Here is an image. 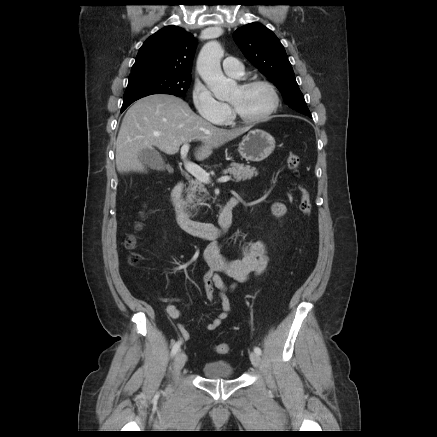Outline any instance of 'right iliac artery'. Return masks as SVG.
Listing matches in <instances>:
<instances>
[{"instance_id": "obj_1", "label": "right iliac artery", "mask_w": 437, "mask_h": 437, "mask_svg": "<svg viewBox=\"0 0 437 437\" xmlns=\"http://www.w3.org/2000/svg\"><path fill=\"white\" fill-rule=\"evenodd\" d=\"M180 346H181V341H178L173 345L172 351H171L172 356H174L179 351Z\"/></svg>"}]
</instances>
